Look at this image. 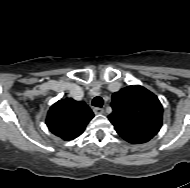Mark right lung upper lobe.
I'll list each match as a JSON object with an SVG mask.
<instances>
[{"label": "right lung upper lobe", "mask_w": 190, "mask_h": 188, "mask_svg": "<svg viewBox=\"0 0 190 188\" xmlns=\"http://www.w3.org/2000/svg\"><path fill=\"white\" fill-rule=\"evenodd\" d=\"M93 117L92 110L84 102L65 98L50 107L46 124L54 135L69 141L80 136Z\"/></svg>", "instance_id": "cb5924a9"}]
</instances>
